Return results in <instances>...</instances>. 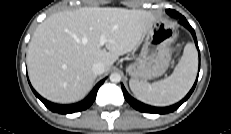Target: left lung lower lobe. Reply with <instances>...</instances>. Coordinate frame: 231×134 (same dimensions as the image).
I'll return each mask as SVG.
<instances>
[{
  "mask_svg": "<svg viewBox=\"0 0 231 134\" xmlns=\"http://www.w3.org/2000/svg\"><path fill=\"white\" fill-rule=\"evenodd\" d=\"M173 17H176V18H179L180 19V23L182 25H184L187 29L190 30V32L192 33L193 37H194V40H195V43L197 45V48H198V44H197V38H196V35H195V31L193 30V28L190 26V24L187 22V20L185 19L184 16H182L181 14H179L178 12L175 11V14L173 15ZM200 55V54H199ZM198 79V77H197ZM197 79L195 81V84L193 85L192 89L190 90V92L186 95V97L181 100L179 103L175 104V105H172L170 107H165V108H158V107H152V106H149V105H145L137 100H135L134 98H132L128 92L126 91V89L124 88V86L122 85V90H123V94H124V97L125 99L129 102V104L131 106H133L136 110L138 111H141V112H148V113H156V114H165V113H170V112H173L174 110H176L177 108H179V106L185 102L189 96L192 94L195 86H196V83H197Z\"/></svg>",
  "mask_w": 231,
  "mask_h": 134,
  "instance_id": "0a47b994",
  "label": "left lung lower lobe"
}]
</instances>
